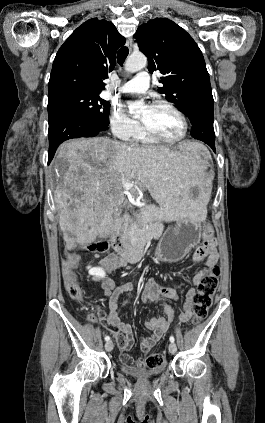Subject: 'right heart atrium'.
Segmentation results:
<instances>
[{"mask_svg": "<svg viewBox=\"0 0 265 423\" xmlns=\"http://www.w3.org/2000/svg\"><path fill=\"white\" fill-rule=\"evenodd\" d=\"M110 126L114 135L122 140H131L140 129L139 123L130 118L119 106L112 108Z\"/></svg>", "mask_w": 265, "mask_h": 423, "instance_id": "right-heart-atrium-1", "label": "right heart atrium"}]
</instances>
